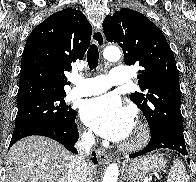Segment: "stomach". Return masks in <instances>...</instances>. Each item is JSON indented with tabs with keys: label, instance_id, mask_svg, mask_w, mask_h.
<instances>
[{
	"label": "stomach",
	"instance_id": "stomach-1",
	"mask_svg": "<svg viewBox=\"0 0 196 182\" xmlns=\"http://www.w3.org/2000/svg\"><path fill=\"white\" fill-rule=\"evenodd\" d=\"M166 161L159 154L144 156L132 161L125 168V179L139 182L141 178L151 172H159L165 168Z\"/></svg>",
	"mask_w": 196,
	"mask_h": 182
}]
</instances>
